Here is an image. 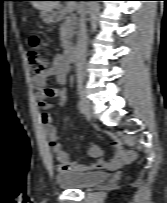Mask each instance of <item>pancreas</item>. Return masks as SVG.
Wrapping results in <instances>:
<instances>
[{
    "instance_id": "1",
    "label": "pancreas",
    "mask_w": 167,
    "mask_h": 203,
    "mask_svg": "<svg viewBox=\"0 0 167 203\" xmlns=\"http://www.w3.org/2000/svg\"><path fill=\"white\" fill-rule=\"evenodd\" d=\"M77 27V17L69 10L63 11V22L60 27V39L62 47L68 49L71 46V39Z\"/></svg>"
}]
</instances>
